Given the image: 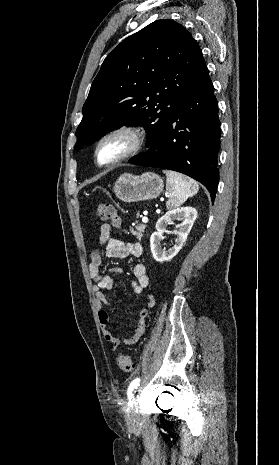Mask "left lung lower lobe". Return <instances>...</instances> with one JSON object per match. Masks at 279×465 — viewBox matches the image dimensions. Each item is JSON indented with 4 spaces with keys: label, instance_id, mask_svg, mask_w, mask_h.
Returning a JSON list of instances; mask_svg holds the SVG:
<instances>
[{
    "label": "left lung lower lobe",
    "instance_id": "obj_1",
    "mask_svg": "<svg viewBox=\"0 0 279 465\" xmlns=\"http://www.w3.org/2000/svg\"><path fill=\"white\" fill-rule=\"evenodd\" d=\"M220 120L205 61L163 135L131 164L169 169L202 183L215 199L219 181Z\"/></svg>",
    "mask_w": 279,
    "mask_h": 465
}]
</instances>
